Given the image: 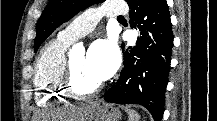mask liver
<instances>
[{"label": "liver", "instance_id": "liver-1", "mask_svg": "<svg viewBox=\"0 0 217 121\" xmlns=\"http://www.w3.org/2000/svg\"><path fill=\"white\" fill-rule=\"evenodd\" d=\"M96 105L97 103L83 107H71L70 109L57 113L56 116L64 117L70 121H89V117Z\"/></svg>", "mask_w": 217, "mask_h": 121}]
</instances>
